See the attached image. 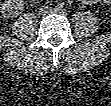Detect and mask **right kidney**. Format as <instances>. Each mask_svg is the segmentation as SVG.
Returning a JSON list of instances; mask_svg holds the SVG:
<instances>
[{"label": "right kidney", "instance_id": "right-kidney-1", "mask_svg": "<svg viewBox=\"0 0 111 106\" xmlns=\"http://www.w3.org/2000/svg\"><path fill=\"white\" fill-rule=\"evenodd\" d=\"M4 6H7V7H4V10L2 11V13H3L5 16H10V14H12V12L9 11V2H8L7 5L4 4ZM5 8H7V9H6L7 13H5ZM11 9H12V8H11Z\"/></svg>", "mask_w": 111, "mask_h": 106}]
</instances>
